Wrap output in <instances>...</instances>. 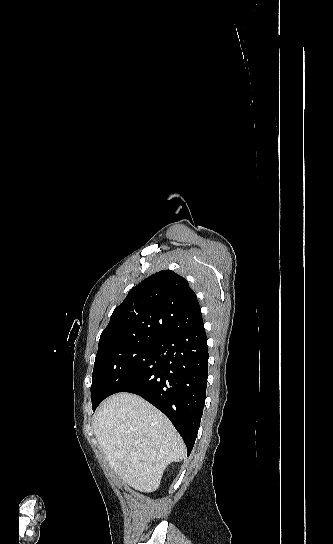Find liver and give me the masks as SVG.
Here are the masks:
<instances>
[{
	"mask_svg": "<svg viewBox=\"0 0 333 544\" xmlns=\"http://www.w3.org/2000/svg\"><path fill=\"white\" fill-rule=\"evenodd\" d=\"M94 434L114 471L141 492L157 490L165 467L185 457L183 440L171 422L134 394L104 401L94 414Z\"/></svg>",
	"mask_w": 333,
	"mask_h": 544,
	"instance_id": "1",
	"label": "liver"
}]
</instances>
